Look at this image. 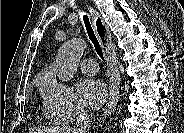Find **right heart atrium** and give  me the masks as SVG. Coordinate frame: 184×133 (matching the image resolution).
I'll return each instance as SVG.
<instances>
[{"label": "right heart atrium", "instance_id": "d8ad5b80", "mask_svg": "<svg viewBox=\"0 0 184 133\" xmlns=\"http://www.w3.org/2000/svg\"><path fill=\"white\" fill-rule=\"evenodd\" d=\"M45 113L57 122H69L84 112L72 89L51 75L42 85Z\"/></svg>", "mask_w": 184, "mask_h": 133}]
</instances>
